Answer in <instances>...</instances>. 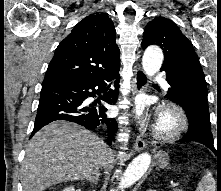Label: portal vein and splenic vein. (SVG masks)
I'll return each mask as SVG.
<instances>
[{"instance_id": "portal-vein-and-splenic-vein-1", "label": "portal vein and splenic vein", "mask_w": 221, "mask_h": 191, "mask_svg": "<svg viewBox=\"0 0 221 191\" xmlns=\"http://www.w3.org/2000/svg\"><path fill=\"white\" fill-rule=\"evenodd\" d=\"M179 186V183L178 182H172L171 183V185H170V187H172V188H175V187H178Z\"/></svg>"}]
</instances>
